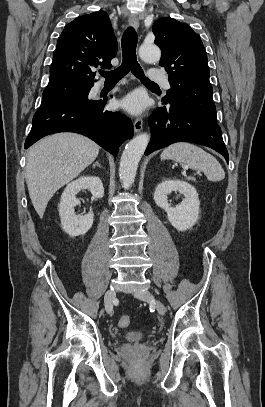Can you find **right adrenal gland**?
Here are the masks:
<instances>
[{
    "label": "right adrenal gland",
    "instance_id": "right-adrenal-gland-1",
    "mask_svg": "<svg viewBox=\"0 0 265 407\" xmlns=\"http://www.w3.org/2000/svg\"><path fill=\"white\" fill-rule=\"evenodd\" d=\"M96 166H98L99 168H101V165L99 164V162L98 161H96L94 164H93V168H95Z\"/></svg>",
    "mask_w": 265,
    "mask_h": 407
}]
</instances>
